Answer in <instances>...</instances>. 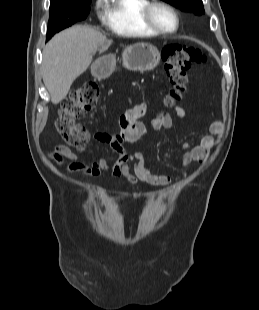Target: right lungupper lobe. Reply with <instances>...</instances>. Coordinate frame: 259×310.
I'll return each mask as SVG.
<instances>
[{"label": "right lung upper lobe", "mask_w": 259, "mask_h": 310, "mask_svg": "<svg viewBox=\"0 0 259 310\" xmlns=\"http://www.w3.org/2000/svg\"><path fill=\"white\" fill-rule=\"evenodd\" d=\"M89 0H50V7L85 3Z\"/></svg>", "instance_id": "right-lung-upper-lobe-1"}]
</instances>
